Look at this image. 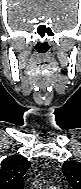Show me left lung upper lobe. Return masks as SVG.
<instances>
[{"mask_svg": "<svg viewBox=\"0 0 81 189\" xmlns=\"http://www.w3.org/2000/svg\"><path fill=\"white\" fill-rule=\"evenodd\" d=\"M62 170L73 189H81V163L76 161L65 162Z\"/></svg>", "mask_w": 81, "mask_h": 189, "instance_id": "obj_1", "label": "left lung upper lobe"}]
</instances>
